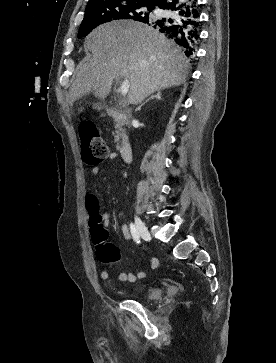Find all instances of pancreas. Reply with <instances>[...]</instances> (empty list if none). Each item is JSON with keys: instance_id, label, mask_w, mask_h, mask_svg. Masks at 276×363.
<instances>
[{"instance_id": "cf45deb5", "label": "pancreas", "mask_w": 276, "mask_h": 363, "mask_svg": "<svg viewBox=\"0 0 276 363\" xmlns=\"http://www.w3.org/2000/svg\"><path fill=\"white\" fill-rule=\"evenodd\" d=\"M122 123H115V131H116V135H115V142L117 143V147L119 146V141L120 138H124L125 137V130L122 127Z\"/></svg>"}]
</instances>
